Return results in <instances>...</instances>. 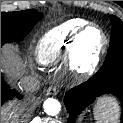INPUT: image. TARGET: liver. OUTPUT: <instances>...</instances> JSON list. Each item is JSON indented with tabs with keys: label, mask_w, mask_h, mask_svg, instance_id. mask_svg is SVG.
<instances>
[{
	"label": "liver",
	"mask_w": 123,
	"mask_h": 123,
	"mask_svg": "<svg viewBox=\"0 0 123 123\" xmlns=\"http://www.w3.org/2000/svg\"><path fill=\"white\" fill-rule=\"evenodd\" d=\"M22 68L23 63L15 52L14 48L8 45L5 46L1 54V72H4L11 78H18ZM16 103V100L12 101L9 107H7V109L1 113L2 119L9 121L12 118ZM2 119L1 121H3Z\"/></svg>",
	"instance_id": "1"
}]
</instances>
